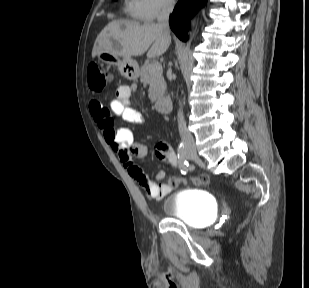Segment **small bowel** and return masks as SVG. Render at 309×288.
Masks as SVG:
<instances>
[{
    "label": "small bowel",
    "instance_id": "c3829d8e",
    "mask_svg": "<svg viewBox=\"0 0 309 288\" xmlns=\"http://www.w3.org/2000/svg\"><path fill=\"white\" fill-rule=\"evenodd\" d=\"M137 90L136 85H121L117 88L114 99L109 108L96 100L90 102L91 114L101 130L104 141L117 153L123 167L129 176L144 189L152 200H161L174 188L169 183L149 180L142 170L134 163V158H143L147 154V147L134 142L133 135L126 128H115L111 113L120 116L128 123L138 124L145 120L144 115L130 106V97ZM158 158L176 166L178 159L173 148L165 142L156 146ZM162 177V174L159 175Z\"/></svg>",
    "mask_w": 309,
    "mask_h": 288
}]
</instances>
